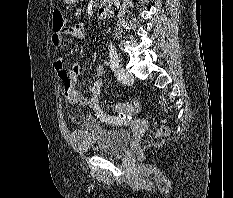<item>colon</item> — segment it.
Here are the masks:
<instances>
[{
  "mask_svg": "<svg viewBox=\"0 0 233 198\" xmlns=\"http://www.w3.org/2000/svg\"><path fill=\"white\" fill-rule=\"evenodd\" d=\"M66 20L65 16L60 10H54L52 13V25L54 32H60L65 28ZM111 109L118 113L121 117H129L137 114L140 109L141 105L138 100L134 99L130 102H119V103H112L110 105ZM169 127L162 126L159 128L155 133V138L160 139L169 134Z\"/></svg>",
  "mask_w": 233,
  "mask_h": 198,
  "instance_id": "colon-1",
  "label": "colon"
}]
</instances>
